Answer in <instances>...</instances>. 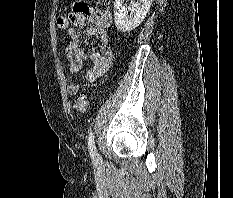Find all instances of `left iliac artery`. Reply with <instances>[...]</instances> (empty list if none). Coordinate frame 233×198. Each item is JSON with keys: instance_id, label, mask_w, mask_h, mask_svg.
Here are the masks:
<instances>
[{"instance_id": "44dca946", "label": "left iliac artery", "mask_w": 233, "mask_h": 198, "mask_svg": "<svg viewBox=\"0 0 233 198\" xmlns=\"http://www.w3.org/2000/svg\"><path fill=\"white\" fill-rule=\"evenodd\" d=\"M88 149H89L90 156L93 159V161H97L98 154H97L96 147H95L93 131H90L88 135Z\"/></svg>"}]
</instances>
